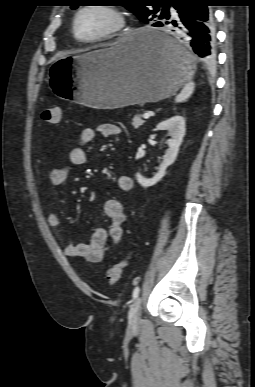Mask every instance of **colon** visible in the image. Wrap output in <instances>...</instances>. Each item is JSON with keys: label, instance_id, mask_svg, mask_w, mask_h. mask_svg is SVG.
I'll list each match as a JSON object with an SVG mask.
<instances>
[{"label": "colon", "instance_id": "colon-1", "mask_svg": "<svg viewBox=\"0 0 255 387\" xmlns=\"http://www.w3.org/2000/svg\"><path fill=\"white\" fill-rule=\"evenodd\" d=\"M41 117L44 121L51 124H58L62 118V109L57 105H53L45 109ZM131 254L127 253L121 261L112 265L106 272V281L110 286L115 285L121 278L125 267L128 265Z\"/></svg>", "mask_w": 255, "mask_h": 387}]
</instances>
